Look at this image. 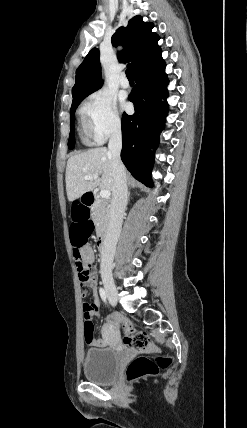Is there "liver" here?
Here are the masks:
<instances>
[{"instance_id":"obj_1","label":"liver","mask_w":247,"mask_h":428,"mask_svg":"<svg viewBox=\"0 0 247 428\" xmlns=\"http://www.w3.org/2000/svg\"><path fill=\"white\" fill-rule=\"evenodd\" d=\"M85 175H97V179L85 180ZM66 191L69 201L80 198L97 186L112 191L114 185L112 156L105 147L92 148L71 156L66 166Z\"/></svg>"}]
</instances>
